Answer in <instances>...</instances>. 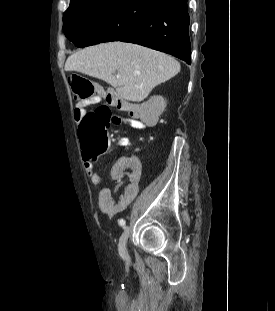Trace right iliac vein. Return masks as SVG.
<instances>
[{
    "instance_id": "obj_1",
    "label": "right iliac vein",
    "mask_w": 275,
    "mask_h": 311,
    "mask_svg": "<svg viewBox=\"0 0 275 311\" xmlns=\"http://www.w3.org/2000/svg\"><path fill=\"white\" fill-rule=\"evenodd\" d=\"M129 234H130V227L126 226L119 240V246H118L119 252H120V255L124 258L128 257V251H127L126 245H127Z\"/></svg>"
}]
</instances>
